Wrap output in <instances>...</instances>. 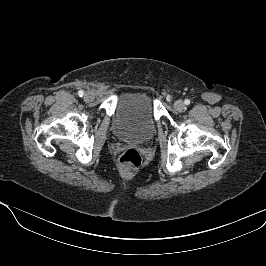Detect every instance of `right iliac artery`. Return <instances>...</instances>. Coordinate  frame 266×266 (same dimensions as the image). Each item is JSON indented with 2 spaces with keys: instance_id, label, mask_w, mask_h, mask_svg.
Wrapping results in <instances>:
<instances>
[{
  "instance_id": "1",
  "label": "right iliac artery",
  "mask_w": 266,
  "mask_h": 266,
  "mask_svg": "<svg viewBox=\"0 0 266 266\" xmlns=\"http://www.w3.org/2000/svg\"><path fill=\"white\" fill-rule=\"evenodd\" d=\"M78 95H79L80 97H82V96L84 95V91H83V90L78 91Z\"/></svg>"
}]
</instances>
